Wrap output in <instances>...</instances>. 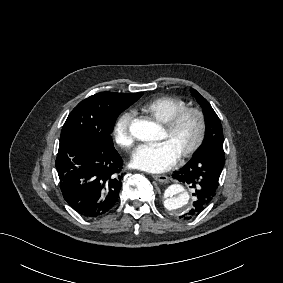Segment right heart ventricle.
I'll return each instance as SVG.
<instances>
[{
    "instance_id": "right-heart-ventricle-1",
    "label": "right heart ventricle",
    "mask_w": 283,
    "mask_h": 283,
    "mask_svg": "<svg viewBox=\"0 0 283 283\" xmlns=\"http://www.w3.org/2000/svg\"><path fill=\"white\" fill-rule=\"evenodd\" d=\"M188 107L187 102L177 96H160L136 106L135 111L165 124L170 116Z\"/></svg>"
}]
</instances>
